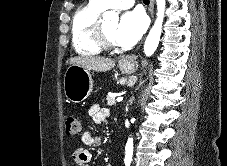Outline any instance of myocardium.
<instances>
[{"instance_id":"1","label":"myocardium","mask_w":227,"mask_h":166,"mask_svg":"<svg viewBox=\"0 0 227 166\" xmlns=\"http://www.w3.org/2000/svg\"><path fill=\"white\" fill-rule=\"evenodd\" d=\"M92 35L95 42L102 48V49H113L116 47V44L109 40L104 32L103 26V18H98L95 22L92 30Z\"/></svg>"}]
</instances>
